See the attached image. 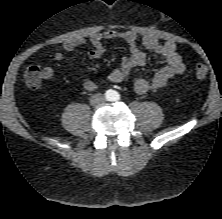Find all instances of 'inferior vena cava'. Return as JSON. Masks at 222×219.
I'll list each match as a JSON object with an SVG mask.
<instances>
[{"mask_svg":"<svg viewBox=\"0 0 222 219\" xmlns=\"http://www.w3.org/2000/svg\"><path fill=\"white\" fill-rule=\"evenodd\" d=\"M93 106L100 105L104 102V97L101 94H94L90 100Z\"/></svg>","mask_w":222,"mask_h":219,"instance_id":"obj_1","label":"inferior vena cava"}]
</instances>
